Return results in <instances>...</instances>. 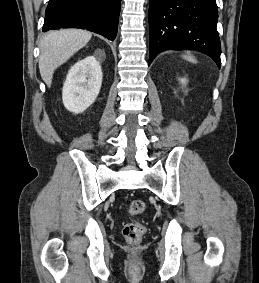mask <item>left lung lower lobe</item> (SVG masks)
Here are the masks:
<instances>
[{
  "mask_svg": "<svg viewBox=\"0 0 259 283\" xmlns=\"http://www.w3.org/2000/svg\"><path fill=\"white\" fill-rule=\"evenodd\" d=\"M150 57L168 49H193L220 67L216 0H150Z\"/></svg>",
  "mask_w": 259,
  "mask_h": 283,
  "instance_id": "obj_1",
  "label": "left lung lower lobe"
}]
</instances>
